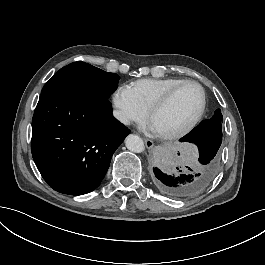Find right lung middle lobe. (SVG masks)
Here are the masks:
<instances>
[{"label":"right lung middle lobe","instance_id":"dd1d6c3e","mask_svg":"<svg viewBox=\"0 0 265 265\" xmlns=\"http://www.w3.org/2000/svg\"><path fill=\"white\" fill-rule=\"evenodd\" d=\"M119 76L84 62H74L60 69L43 87L42 93L108 98L118 84Z\"/></svg>","mask_w":265,"mask_h":265}]
</instances>
